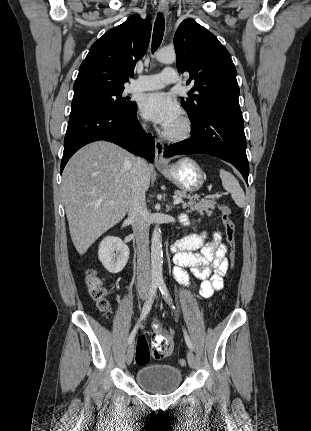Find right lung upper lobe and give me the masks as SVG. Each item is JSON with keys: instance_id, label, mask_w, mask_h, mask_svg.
Listing matches in <instances>:
<instances>
[{"instance_id": "right-lung-upper-lobe-1", "label": "right lung upper lobe", "mask_w": 311, "mask_h": 431, "mask_svg": "<svg viewBox=\"0 0 311 431\" xmlns=\"http://www.w3.org/2000/svg\"><path fill=\"white\" fill-rule=\"evenodd\" d=\"M151 35L150 18L129 17L107 31L91 46L79 68L74 93L103 90L123 91L134 75L136 62L144 56Z\"/></svg>"}]
</instances>
